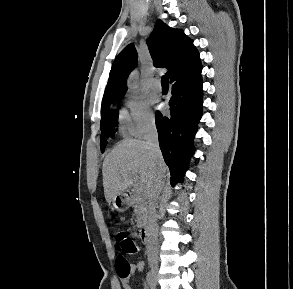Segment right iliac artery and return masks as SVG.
Returning <instances> with one entry per match:
<instances>
[{
	"instance_id": "1",
	"label": "right iliac artery",
	"mask_w": 293,
	"mask_h": 289,
	"mask_svg": "<svg viewBox=\"0 0 293 289\" xmlns=\"http://www.w3.org/2000/svg\"><path fill=\"white\" fill-rule=\"evenodd\" d=\"M146 281H147V284H148L150 287H153V281H152L151 272H148V273H147ZM152 289H153V288H152Z\"/></svg>"
}]
</instances>
